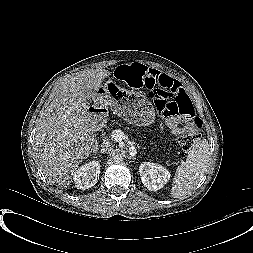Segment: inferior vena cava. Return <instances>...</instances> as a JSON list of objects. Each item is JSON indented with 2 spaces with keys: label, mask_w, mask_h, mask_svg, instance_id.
I'll list each match as a JSON object with an SVG mask.
<instances>
[{
  "label": "inferior vena cava",
  "mask_w": 253,
  "mask_h": 253,
  "mask_svg": "<svg viewBox=\"0 0 253 253\" xmlns=\"http://www.w3.org/2000/svg\"><path fill=\"white\" fill-rule=\"evenodd\" d=\"M112 150H113V148H111L108 145H106L101 151L102 152H111Z\"/></svg>",
  "instance_id": "obj_1"
}]
</instances>
